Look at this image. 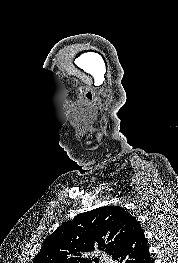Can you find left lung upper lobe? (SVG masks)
I'll return each instance as SVG.
<instances>
[{"label": "left lung upper lobe", "instance_id": "1", "mask_svg": "<svg viewBox=\"0 0 178 263\" xmlns=\"http://www.w3.org/2000/svg\"><path fill=\"white\" fill-rule=\"evenodd\" d=\"M132 218L118 206L81 213L45 239L33 263H91L85 253L95 249L113 256Z\"/></svg>", "mask_w": 178, "mask_h": 263}]
</instances>
